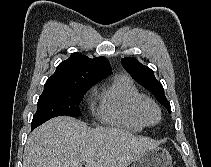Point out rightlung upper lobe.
Wrapping results in <instances>:
<instances>
[{"instance_id":"1","label":"right lung upper lobe","mask_w":211,"mask_h":167,"mask_svg":"<svg viewBox=\"0 0 211 167\" xmlns=\"http://www.w3.org/2000/svg\"><path fill=\"white\" fill-rule=\"evenodd\" d=\"M112 72L105 57L89 59L78 52L61 62L55 73L49 77L44 87H61L87 80H101Z\"/></svg>"}]
</instances>
